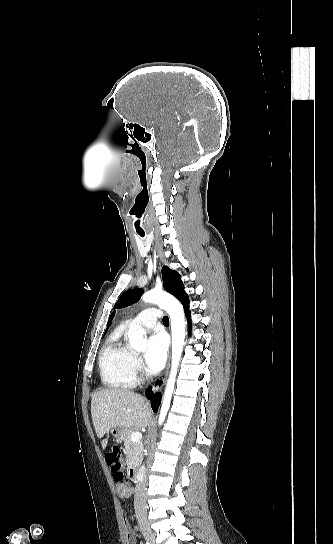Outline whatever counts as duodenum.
Returning <instances> with one entry per match:
<instances>
[{
	"instance_id": "1",
	"label": "duodenum",
	"mask_w": 333,
	"mask_h": 544,
	"mask_svg": "<svg viewBox=\"0 0 333 544\" xmlns=\"http://www.w3.org/2000/svg\"><path fill=\"white\" fill-rule=\"evenodd\" d=\"M128 476L132 481L137 482L139 480V470L135 466H131L128 469Z\"/></svg>"
}]
</instances>
